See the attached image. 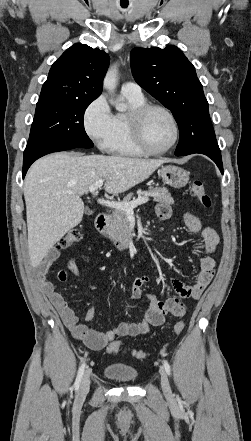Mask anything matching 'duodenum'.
<instances>
[{
    "label": "duodenum",
    "instance_id": "obj_1",
    "mask_svg": "<svg viewBox=\"0 0 251 441\" xmlns=\"http://www.w3.org/2000/svg\"><path fill=\"white\" fill-rule=\"evenodd\" d=\"M108 220H109V216L106 213L98 214L95 219L96 229L98 230V232L101 235L110 238L117 249H119V250L127 249L129 246L128 242H123V241L114 239L110 236L109 231H108Z\"/></svg>",
    "mask_w": 251,
    "mask_h": 441
}]
</instances>
